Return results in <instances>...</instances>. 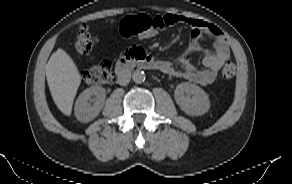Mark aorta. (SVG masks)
<instances>
[{
  "label": "aorta",
  "mask_w": 292,
  "mask_h": 184,
  "mask_svg": "<svg viewBox=\"0 0 292 184\" xmlns=\"http://www.w3.org/2000/svg\"><path fill=\"white\" fill-rule=\"evenodd\" d=\"M146 75L141 70H135L132 74V79L135 83L140 84L145 81Z\"/></svg>",
  "instance_id": "aorta-1"
}]
</instances>
